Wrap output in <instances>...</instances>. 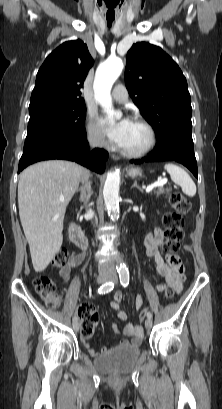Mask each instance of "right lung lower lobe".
<instances>
[{"label":"right lung lower lobe","mask_w":222,"mask_h":409,"mask_svg":"<svg viewBox=\"0 0 222 409\" xmlns=\"http://www.w3.org/2000/svg\"><path fill=\"white\" fill-rule=\"evenodd\" d=\"M89 146L87 139L84 138L74 149H58V148H37L29 152L23 153L18 167V173L28 165L41 160L48 159H65L75 161L83 166L103 173L105 170V162L108 158V153L103 149H94L88 152Z\"/></svg>","instance_id":"obj_1"}]
</instances>
